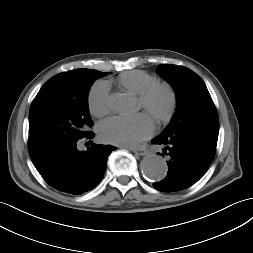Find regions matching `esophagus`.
<instances>
[{"mask_svg": "<svg viewBox=\"0 0 253 253\" xmlns=\"http://www.w3.org/2000/svg\"><path fill=\"white\" fill-rule=\"evenodd\" d=\"M132 151L137 154V155H140V156H144V155H147L149 153V150L147 148H134L132 149Z\"/></svg>", "mask_w": 253, "mask_h": 253, "instance_id": "1", "label": "esophagus"}]
</instances>
